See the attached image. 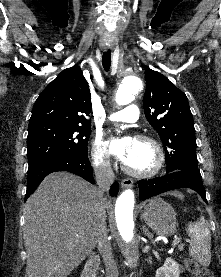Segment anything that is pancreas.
<instances>
[{
	"instance_id": "cf45deb5",
	"label": "pancreas",
	"mask_w": 221,
	"mask_h": 277,
	"mask_svg": "<svg viewBox=\"0 0 221 277\" xmlns=\"http://www.w3.org/2000/svg\"><path fill=\"white\" fill-rule=\"evenodd\" d=\"M179 249L182 250L183 249V245L179 246Z\"/></svg>"
}]
</instances>
